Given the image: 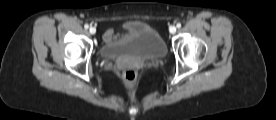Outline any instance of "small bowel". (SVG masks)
Instances as JSON below:
<instances>
[{"instance_id":"c3829d8e","label":"small bowel","mask_w":276,"mask_h":120,"mask_svg":"<svg viewBox=\"0 0 276 120\" xmlns=\"http://www.w3.org/2000/svg\"><path fill=\"white\" fill-rule=\"evenodd\" d=\"M114 36H115V33L113 30H109L105 35L106 39L108 40L112 39Z\"/></svg>"}]
</instances>
